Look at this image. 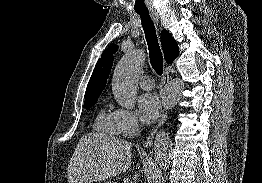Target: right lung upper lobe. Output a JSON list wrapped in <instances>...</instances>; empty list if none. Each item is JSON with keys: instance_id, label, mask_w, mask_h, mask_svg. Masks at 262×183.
<instances>
[{"instance_id": "cb5924a9", "label": "right lung upper lobe", "mask_w": 262, "mask_h": 183, "mask_svg": "<svg viewBox=\"0 0 262 183\" xmlns=\"http://www.w3.org/2000/svg\"><path fill=\"white\" fill-rule=\"evenodd\" d=\"M161 44L167 63L171 64L179 54L177 42L167 30L161 32ZM118 50L117 45L108 47L98 60L93 74L88 82L85 100L98 99L103 91L113 64V55Z\"/></svg>"}]
</instances>
